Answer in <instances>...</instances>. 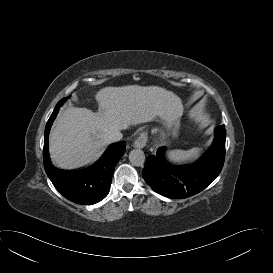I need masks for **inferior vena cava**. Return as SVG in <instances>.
Here are the masks:
<instances>
[{
	"label": "inferior vena cava",
	"mask_w": 273,
	"mask_h": 273,
	"mask_svg": "<svg viewBox=\"0 0 273 273\" xmlns=\"http://www.w3.org/2000/svg\"><path fill=\"white\" fill-rule=\"evenodd\" d=\"M108 137L111 141H119L122 139L123 134L120 132V130H113L109 132Z\"/></svg>",
	"instance_id": "inferior-vena-cava-1"
}]
</instances>
